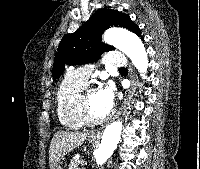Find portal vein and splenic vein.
I'll use <instances>...</instances> for the list:
<instances>
[{"label":"portal vein and splenic vein","mask_w":200,"mask_h":169,"mask_svg":"<svg viewBox=\"0 0 200 169\" xmlns=\"http://www.w3.org/2000/svg\"><path fill=\"white\" fill-rule=\"evenodd\" d=\"M86 163L84 161L81 162V165L84 166Z\"/></svg>","instance_id":"portal-vein-and-splenic-vein-1"}]
</instances>
